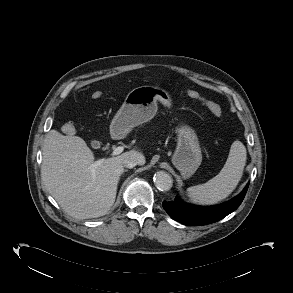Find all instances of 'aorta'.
I'll return each instance as SVG.
<instances>
[{"label": "aorta", "mask_w": 293, "mask_h": 293, "mask_svg": "<svg viewBox=\"0 0 293 293\" xmlns=\"http://www.w3.org/2000/svg\"><path fill=\"white\" fill-rule=\"evenodd\" d=\"M154 184L160 191H168L171 189L173 180L165 171H158L154 175Z\"/></svg>", "instance_id": "762f6f07"}]
</instances>
